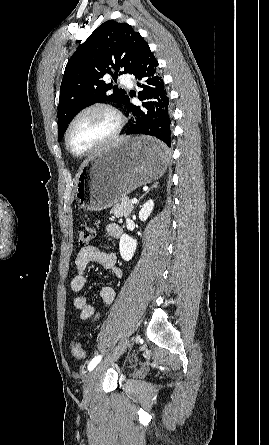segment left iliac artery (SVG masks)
<instances>
[{
	"instance_id": "44dca946",
	"label": "left iliac artery",
	"mask_w": 269,
	"mask_h": 445,
	"mask_svg": "<svg viewBox=\"0 0 269 445\" xmlns=\"http://www.w3.org/2000/svg\"><path fill=\"white\" fill-rule=\"evenodd\" d=\"M101 358H102L101 355L94 357L88 365V370L92 371L97 366V364L101 361Z\"/></svg>"
}]
</instances>
